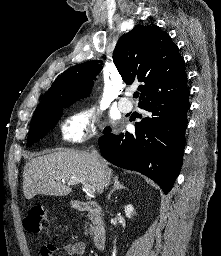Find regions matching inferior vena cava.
<instances>
[{"mask_svg": "<svg viewBox=\"0 0 221 256\" xmlns=\"http://www.w3.org/2000/svg\"><path fill=\"white\" fill-rule=\"evenodd\" d=\"M92 155L95 157V158H97V159H99L100 157H99V154H98V152L96 151V150H92ZM103 184H104V187L105 188H107L108 187V185L110 184V176L108 175V174H104V176H103Z\"/></svg>", "mask_w": 221, "mask_h": 256, "instance_id": "602c4592", "label": "inferior vena cava"}]
</instances>
